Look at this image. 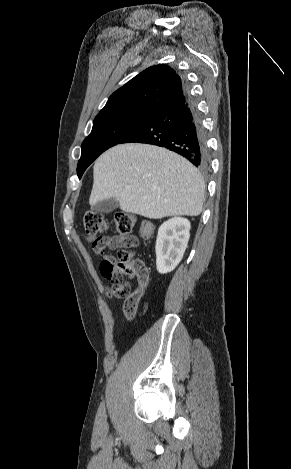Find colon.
Instances as JSON below:
<instances>
[{
  "mask_svg": "<svg viewBox=\"0 0 291 469\" xmlns=\"http://www.w3.org/2000/svg\"><path fill=\"white\" fill-rule=\"evenodd\" d=\"M83 223L87 235L93 240L95 252L103 254L107 246H118L116 256L105 255L100 263L103 276L112 284L106 289L110 296L124 298L123 311L127 319L134 318L138 304L143 294V288L133 289V282L140 281L147 275L144 264L135 258L131 248L135 241L130 236L138 225V217L128 212H118L113 219L115 233L105 235L108 229L106 218L98 212L86 211ZM154 226L149 220L140 223V236L149 239L153 234Z\"/></svg>",
  "mask_w": 291,
  "mask_h": 469,
  "instance_id": "5ec220e1",
  "label": "colon"
}]
</instances>
